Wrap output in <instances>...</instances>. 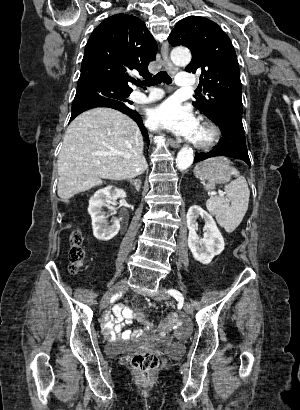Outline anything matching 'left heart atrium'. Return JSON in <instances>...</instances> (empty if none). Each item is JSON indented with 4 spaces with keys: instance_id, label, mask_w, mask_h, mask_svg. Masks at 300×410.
Here are the masks:
<instances>
[{
    "instance_id": "39dd6f15",
    "label": "left heart atrium",
    "mask_w": 300,
    "mask_h": 410,
    "mask_svg": "<svg viewBox=\"0 0 300 410\" xmlns=\"http://www.w3.org/2000/svg\"><path fill=\"white\" fill-rule=\"evenodd\" d=\"M148 123L152 128L165 129L188 140H194L199 126L190 108L175 99L166 100L153 108Z\"/></svg>"
}]
</instances>
